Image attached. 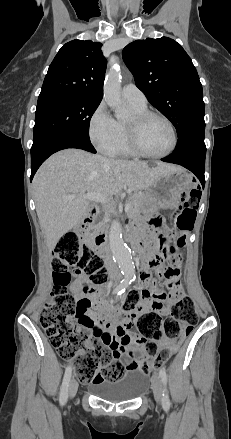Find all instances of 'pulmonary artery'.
Wrapping results in <instances>:
<instances>
[{
	"label": "pulmonary artery",
	"mask_w": 231,
	"mask_h": 439,
	"mask_svg": "<svg viewBox=\"0 0 231 439\" xmlns=\"http://www.w3.org/2000/svg\"><path fill=\"white\" fill-rule=\"evenodd\" d=\"M122 94L125 100L130 103L144 106L147 104V99L144 93L133 83L126 84L122 89Z\"/></svg>",
	"instance_id": "obj_1"
}]
</instances>
